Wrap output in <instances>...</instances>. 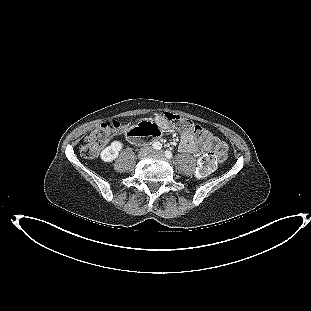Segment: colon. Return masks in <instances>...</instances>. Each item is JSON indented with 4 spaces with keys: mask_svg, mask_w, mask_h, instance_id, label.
<instances>
[{
    "mask_svg": "<svg viewBox=\"0 0 311 311\" xmlns=\"http://www.w3.org/2000/svg\"><path fill=\"white\" fill-rule=\"evenodd\" d=\"M166 120L183 133H191L195 140L207 148V153L199 160L197 175L207 176L212 172L218 163H222L227 157V147L219 139L214 137L208 130L195 124L187 118H183L173 113H165ZM128 120H113L104 122L93 129L85 139V143L80 148L82 157L95 158L100 150L117 134L123 132ZM132 135L137 136H157L159 131L153 126H143L131 130Z\"/></svg>",
    "mask_w": 311,
    "mask_h": 311,
    "instance_id": "1",
    "label": "colon"
}]
</instances>
